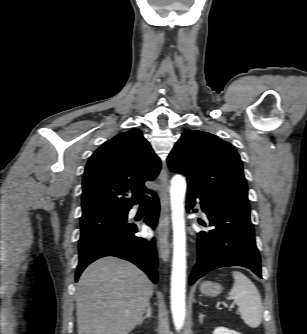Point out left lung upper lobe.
Wrapping results in <instances>:
<instances>
[{
	"mask_svg": "<svg viewBox=\"0 0 307 334\" xmlns=\"http://www.w3.org/2000/svg\"><path fill=\"white\" fill-rule=\"evenodd\" d=\"M187 177L188 190L250 209L242 161L228 142L204 131L186 130L167 159Z\"/></svg>",
	"mask_w": 307,
	"mask_h": 334,
	"instance_id": "left-lung-upper-lobe-1",
	"label": "left lung upper lobe"
}]
</instances>
